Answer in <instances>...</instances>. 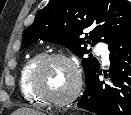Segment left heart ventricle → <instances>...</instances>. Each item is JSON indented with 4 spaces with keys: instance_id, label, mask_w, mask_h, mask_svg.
<instances>
[{
    "instance_id": "left-heart-ventricle-1",
    "label": "left heart ventricle",
    "mask_w": 131,
    "mask_h": 115,
    "mask_svg": "<svg viewBox=\"0 0 131 115\" xmlns=\"http://www.w3.org/2000/svg\"><path fill=\"white\" fill-rule=\"evenodd\" d=\"M74 84V71L63 61H54L46 65L39 78L41 90L53 98H65L72 91Z\"/></svg>"
}]
</instances>
